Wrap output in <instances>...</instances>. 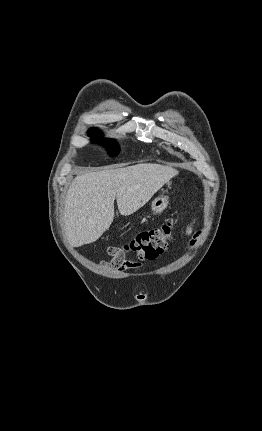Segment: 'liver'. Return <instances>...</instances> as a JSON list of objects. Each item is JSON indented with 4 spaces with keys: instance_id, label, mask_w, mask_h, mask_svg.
I'll use <instances>...</instances> for the list:
<instances>
[{
    "instance_id": "1",
    "label": "liver",
    "mask_w": 262,
    "mask_h": 431,
    "mask_svg": "<svg viewBox=\"0 0 262 431\" xmlns=\"http://www.w3.org/2000/svg\"><path fill=\"white\" fill-rule=\"evenodd\" d=\"M178 170L156 163H140L77 176L65 199L64 230L71 246L98 240L114 219V200L128 216L144 206Z\"/></svg>"
}]
</instances>
